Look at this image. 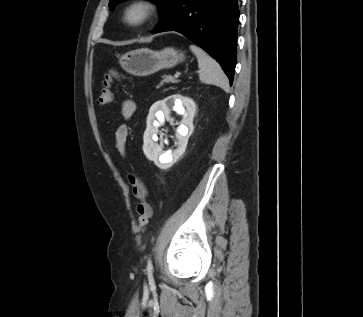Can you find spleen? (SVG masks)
I'll use <instances>...</instances> for the list:
<instances>
[{
    "instance_id": "3e777b00",
    "label": "spleen",
    "mask_w": 363,
    "mask_h": 317,
    "mask_svg": "<svg viewBox=\"0 0 363 317\" xmlns=\"http://www.w3.org/2000/svg\"><path fill=\"white\" fill-rule=\"evenodd\" d=\"M190 50L196 55L198 60L200 81L207 84L217 85L228 92L229 80L219 63L196 45H190Z\"/></svg>"
}]
</instances>
